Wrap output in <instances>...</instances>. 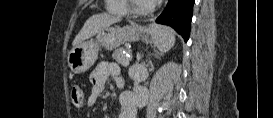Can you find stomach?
Returning <instances> with one entry per match:
<instances>
[{"label": "stomach", "mask_w": 273, "mask_h": 118, "mask_svg": "<svg viewBox=\"0 0 273 118\" xmlns=\"http://www.w3.org/2000/svg\"><path fill=\"white\" fill-rule=\"evenodd\" d=\"M139 40L148 42L149 37L146 30L136 24L124 27L108 26L98 32L95 40L90 39L74 46L67 56L68 66L76 74L84 73L94 65L100 45L114 49L126 42Z\"/></svg>", "instance_id": "0dacf381"}]
</instances>
